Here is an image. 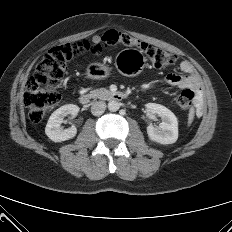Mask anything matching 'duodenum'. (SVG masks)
I'll use <instances>...</instances> for the list:
<instances>
[{"label":"duodenum","instance_id":"410a0bca","mask_svg":"<svg viewBox=\"0 0 232 232\" xmlns=\"http://www.w3.org/2000/svg\"><path fill=\"white\" fill-rule=\"evenodd\" d=\"M106 97L109 99V100H112V101H119V100H122L125 98V95L123 92L121 91H111L109 92L108 94H106ZM91 100V94L90 93H83L79 96V102L80 104L82 105H87L89 104Z\"/></svg>","mask_w":232,"mask_h":232}]
</instances>
